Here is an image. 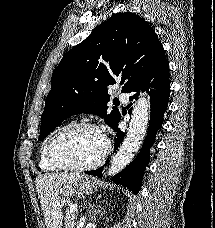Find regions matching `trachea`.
Wrapping results in <instances>:
<instances>
[{
	"mask_svg": "<svg viewBox=\"0 0 215 228\" xmlns=\"http://www.w3.org/2000/svg\"><path fill=\"white\" fill-rule=\"evenodd\" d=\"M119 103H120L119 101H115L114 102L115 105H119Z\"/></svg>",
	"mask_w": 215,
	"mask_h": 228,
	"instance_id": "trachea-1",
	"label": "trachea"
}]
</instances>
